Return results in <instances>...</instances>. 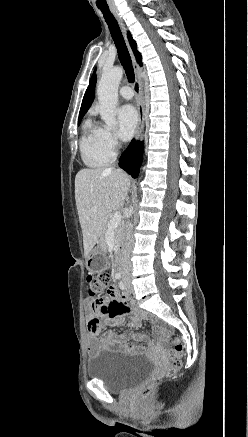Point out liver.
I'll return each mask as SVG.
<instances>
[{
  "mask_svg": "<svg viewBox=\"0 0 248 437\" xmlns=\"http://www.w3.org/2000/svg\"><path fill=\"white\" fill-rule=\"evenodd\" d=\"M129 187V176L119 169H82L77 173L75 200L85 257L102 236L110 213L123 207Z\"/></svg>",
  "mask_w": 248,
  "mask_h": 437,
  "instance_id": "liver-1",
  "label": "liver"
}]
</instances>
